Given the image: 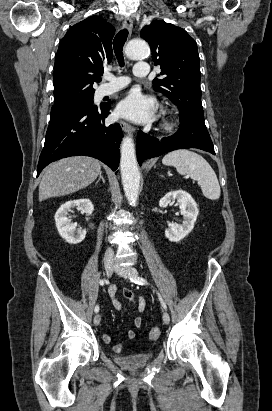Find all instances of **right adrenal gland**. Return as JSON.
Returning <instances> with one entry per match:
<instances>
[{"mask_svg": "<svg viewBox=\"0 0 272 411\" xmlns=\"http://www.w3.org/2000/svg\"><path fill=\"white\" fill-rule=\"evenodd\" d=\"M100 180H102V182L105 183V179H104L103 176H102V172L99 173V178H98V180L96 181V184H98V183L100 182Z\"/></svg>", "mask_w": 272, "mask_h": 411, "instance_id": "right-adrenal-gland-1", "label": "right adrenal gland"}]
</instances>
